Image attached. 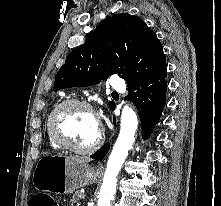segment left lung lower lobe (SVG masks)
<instances>
[{
    "label": "left lung lower lobe",
    "instance_id": "1",
    "mask_svg": "<svg viewBox=\"0 0 221 206\" xmlns=\"http://www.w3.org/2000/svg\"><path fill=\"white\" fill-rule=\"evenodd\" d=\"M167 68L160 73L147 77L136 84L128 86V96L125 98L136 106L142 125V137L148 138L159 120L166 102ZM115 123V118L113 119ZM110 148L106 143L91 158L103 160Z\"/></svg>",
    "mask_w": 221,
    "mask_h": 206
}]
</instances>
